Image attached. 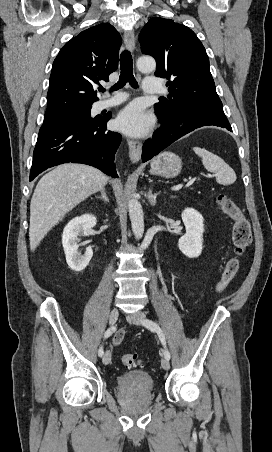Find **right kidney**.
Wrapping results in <instances>:
<instances>
[{
  "label": "right kidney",
  "instance_id": "obj_1",
  "mask_svg": "<svg viewBox=\"0 0 272 452\" xmlns=\"http://www.w3.org/2000/svg\"><path fill=\"white\" fill-rule=\"evenodd\" d=\"M97 219L92 214H84L72 219L64 228L62 234V245L66 256L68 266L76 272H80L89 264L93 251L91 246L86 248L84 255L78 251L79 238L82 233L87 235L89 229L94 227Z\"/></svg>",
  "mask_w": 272,
  "mask_h": 452
}]
</instances>
